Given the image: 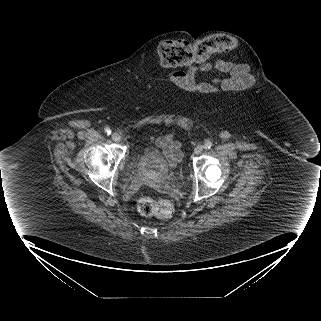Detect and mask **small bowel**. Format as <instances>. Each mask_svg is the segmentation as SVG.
<instances>
[{
	"label": "small bowel",
	"mask_w": 321,
	"mask_h": 321,
	"mask_svg": "<svg viewBox=\"0 0 321 321\" xmlns=\"http://www.w3.org/2000/svg\"><path fill=\"white\" fill-rule=\"evenodd\" d=\"M202 74H209L213 78L204 77L200 81L197 77ZM172 79L192 91L200 89L204 96H217L221 92L219 85H223L227 93H233L235 90L242 91L245 87L252 88L257 83V78L249 74L245 66L226 61L192 67L187 72H175ZM153 142L171 162L174 163L180 158V146L171 134L159 136L153 139Z\"/></svg>",
	"instance_id": "1"
}]
</instances>
